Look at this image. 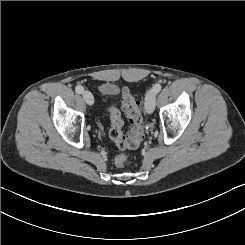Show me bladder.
Wrapping results in <instances>:
<instances>
[{"label": "bladder", "mask_w": 245, "mask_h": 245, "mask_svg": "<svg viewBox=\"0 0 245 245\" xmlns=\"http://www.w3.org/2000/svg\"><path fill=\"white\" fill-rule=\"evenodd\" d=\"M118 90L117 85L112 83H102L100 84V93L102 95L108 96L115 93Z\"/></svg>", "instance_id": "bladder-1"}]
</instances>
